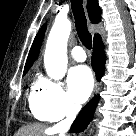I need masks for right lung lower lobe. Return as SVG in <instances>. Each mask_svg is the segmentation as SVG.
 I'll return each instance as SVG.
<instances>
[{"label": "right lung lower lobe", "instance_id": "right-lung-lower-lobe-1", "mask_svg": "<svg viewBox=\"0 0 136 136\" xmlns=\"http://www.w3.org/2000/svg\"><path fill=\"white\" fill-rule=\"evenodd\" d=\"M105 61H106V56L104 52V45L101 37H98L94 40V48H93V55L91 61L93 70L95 71L96 78L98 80L104 74ZM97 103H98V98L95 97L87 105H85V107L81 110V112L79 113L78 117L75 119L71 127L70 131L72 133L82 132L87 127V125L93 118Z\"/></svg>", "mask_w": 136, "mask_h": 136}]
</instances>
